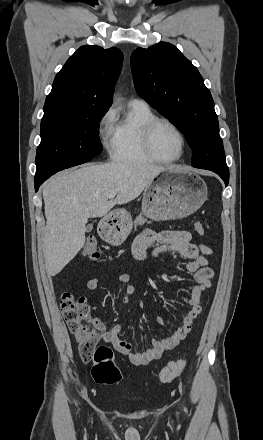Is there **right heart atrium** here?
I'll use <instances>...</instances> for the list:
<instances>
[{
    "label": "right heart atrium",
    "instance_id": "d8ad5b80",
    "mask_svg": "<svg viewBox=\"0 0 263 440\" xmlns=\"http://www.w3.org/2000/svg\"><path fill=\"white\" fill-rule=\"evenodd\" d=\"M115 111L113 108L106 110L98 122V136L104 148L111 152L115 133Z\"/></svg>",
    "mask_w": 263,
    "mask_h": 440
}]
</instances>
